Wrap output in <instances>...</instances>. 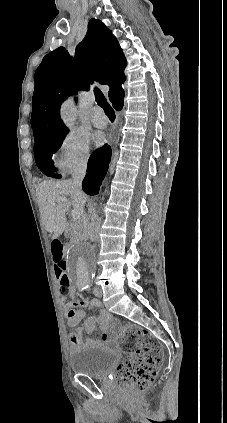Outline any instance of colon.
Returning <instances> with one entry per match:
<instances>
[{
  "mask_svg": "<svg viewBox=\"0 0 227 423\" xmlns=\"http://www.w3.org/2000/svg\"><path fill=\"white\" fill-rule=\"evenodd\" d=\"M55 275L62 293H67L70 280L65 273L63 243L55 239L51 244ZM120 348L126 358L118 366L115 380L128 394H141L152 385L163 361L160 342L146 329L130 324L121 329Z\"/></svg>",
  "mask_w": 227,
  "mask_h": 423,
  "instance_id": "colon-1",
  "label": "colon"
}]
</instances>
